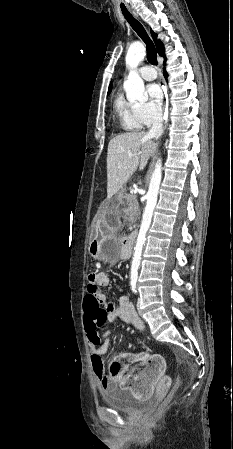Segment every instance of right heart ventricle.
<instances>
[{"label": "right heart ventricle", "instance_id": "obj_1", "mask_svg": "<svg viewBox=\"0 0 233 449\" xmlns=\"http://www.w3.org/2000/svg\"><path fill=\"white\" fill-rule=\"evenodd\" d=\"M115 115L121 129L125 131H139L143 124L136 113V103L126 99L119 93L113 104Z\"/></svg>", "mask_w": 233, "mask_h": 449}]
</instances>
